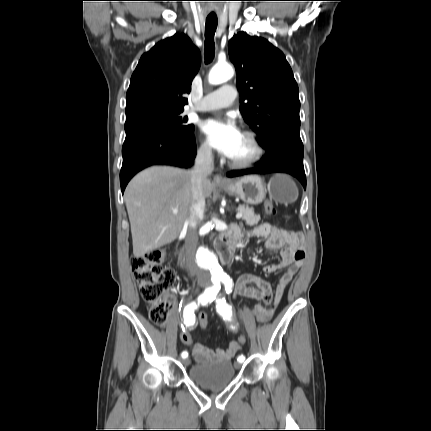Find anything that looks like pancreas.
<instances>
[{"mask_svg":"<svg viewBox=\"0 0 431 431\" xmlns=\"http://www.w3.org/2000/svg\"><path fill=\"white\" fill-rule=\"evenodd\" d=\"M238 211L243 213V220L248 226L257 225L260 221V215L254 213V209L246 205H239Z\"/></svg>","mask_w":431,"mask_h":431,"instance_id":"cf45deb5","label":"pancreas"}]
</instances>
